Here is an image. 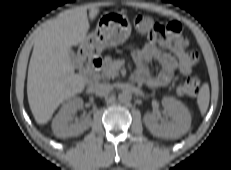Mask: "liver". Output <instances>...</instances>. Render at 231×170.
I'll list each match as a JSON object with an SVG mask.
<instances>
[{"label":"liver","instance_id":"liver-1","mask_svg":"<svg viewBox=\"0 0 231 170\" xmlns=\"http://www.w3.org/2000/svg\"><path fill=\"white\" fill-rule=\"evenodd\" d=\"M98 13L92 7L90 19ZM88 30L87 8L81 6L48 21L38 34L27 78L28 102L38 124H46L62 102L84 91L85 80L74 72L69 50L85 41Z\"/></svg>","mask_w":231,"mask_h":170}]
</instances>
